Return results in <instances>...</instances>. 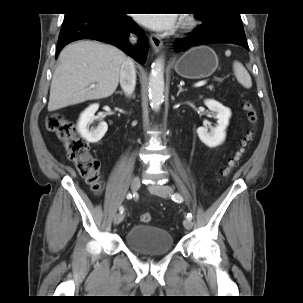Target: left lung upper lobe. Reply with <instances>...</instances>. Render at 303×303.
I'll return each instance as SVG.
<instances>
[{"mask_svg":"<svg viewBox=\"0 0 303 303\" xmlns=\"http://www.w3.org/2000/svg\"><path fill=\"white\" fill-rule=\"evenodd\" d=\"M195 17L203 19L204 25L208 28H243L241 17L238 13L215 12L204 15L196 14Z\"/></svg>","mask_w":303,"mask_h":303,"instance_id":"left-lung-upper-lobe-1","label":"left lung upper lobe"}]
</instances>
